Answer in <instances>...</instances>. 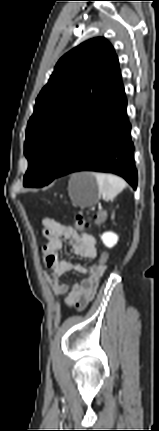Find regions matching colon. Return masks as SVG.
<instances>
[{
  "instance_id": "5ec220e1",
  "label": "colon",
  "mask_w": 159,
  "mask_h": 431,
  "mask_svg": "<svg viewBox=\"0 0 159 431\" xmlns=\"http://www.w3.org/2000/svg\"><path fill=\"white\" fill-rule=\"evenodd\" d=\"M99 218H100V214H94L92 218H87V219L76 218V226L79 230H85L89 228L92 224L98 223ZM110 254L111 253L109 250H104L103 253L100 255V259H103L105 262L110 261L111 260Z\"/></svg>"
}]
</instances>
